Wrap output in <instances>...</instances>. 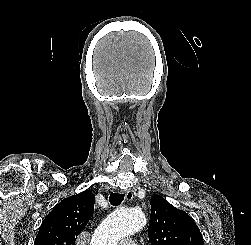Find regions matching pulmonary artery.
Instances as JSON below:
<instances>
[{"mask_svg": "<svg viewBox=\"0 0 251 245\" xmlns=\"http://www.w3.org/2000/svg\"><path fill=\"white\" fill-rule=\"evenodd\" d=\"M120 245H136L135 242L133 240H130V239H126V240H123Z\"/></svg>", "mask_w": 251, "mask_h": 245, "instance_id": "pulmonary-artery-1", "label": "pulmonary artery"}]
</instances>
